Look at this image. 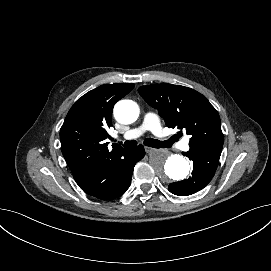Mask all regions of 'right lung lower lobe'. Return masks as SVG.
Listing matches in <instances>:
<instances>
[{
    "instance_id": "1",
    "label": "right lung lower lobe",
    "mask_w": 271,
    "mask_h": 271,
    "mask_svg": "<svg viewBox=\"0 0 271 271\" xmlns=\"http://www.w3.org/2000/svg\"><path fill=\"white\" fill-rule=\"evenodd\" d=\"M144 155L142 145L132 149L112 150L74 179L90 196L101 200L115 199L129 188L134 166Z\"/></svg>"
}]
</instances>
